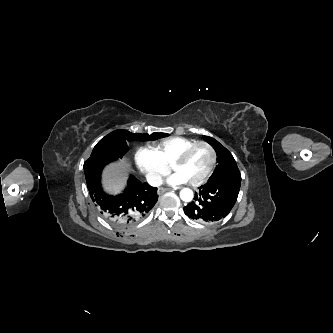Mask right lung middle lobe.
Here are the masks:
<instances>
[{"label": "right lung middle lobe", "instance_id": "dd1d6c3e", "mask_svg": "<svg viewBox=\"0 0 333 333\" xmlns=\"http://www.w3.org/2000/svg\"><path fill=\"white\" fill-rule=\"evenodd\" d=\"M166 133H153L151 135L131 133L126 130H116L101 139L94 147L90 157L112 156L121 158L127 151V141L134 139L156 140L168 136Z\"/></svg>", "mask_w": 333, "mask_h": 333}]
</instances>
